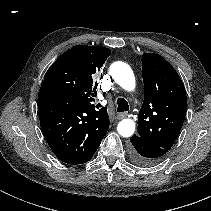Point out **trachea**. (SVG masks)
Wrapping results in <instances>:
<instances>
[{"label": "trachea", "mask_w": 211, "mask_h": 211, "mask_svg": "<svg viewBox=\"0 0 211 211\" xmlns=\"http://www.w3.org/2000/svg\"><path fill=\"white\" fill-rule=\"evenodd\" d=\"M98 107H101L100 104H98ZM129 110L128 102L124 98H118L117 100V112H126Z\"/></svg>", "instance_id": "1"}]
</instances>
